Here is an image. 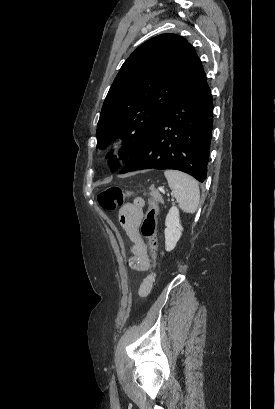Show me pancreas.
Returning a JSON list of instances; mask_svg holds the SVG:
<instances>
[{
	"label": "pancreas",
	"instance_id": "pancreas-1",
	"mask_svg": "<svg viewBox=\"0 0 275 409\" xmlns=\"http://www.w3.org/2000/svg\"><path fill=\"white\" fill-rule=\"evenodd\" d=\"M150 190H151V192H150L151 196H153V198H155V200H158V202H162V205H163L164 200H163L160 192H158V190H155V188H150Z\"/></svg>",
	"mask_w": 275,
	"mask_h": 409
}]
</instances>
